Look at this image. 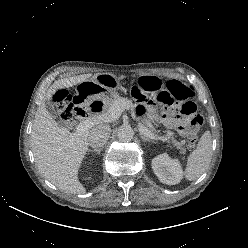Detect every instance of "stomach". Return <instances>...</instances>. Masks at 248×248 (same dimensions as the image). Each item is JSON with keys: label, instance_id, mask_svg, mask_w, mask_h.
<instances>
[{"label": "stomach", "instance_id": "stomach-1", "mask_svg": "<svg viewBox=\"0 0 248 248\" xmlns=\"http://www.w3.org/2000/svg\"><path fill=\"white\" fill-rule=\"evenodd\" d=\"M139 80L151 90L157 91L162 87L161 79L157 76L142 75ZM117 86L116 76L111 73H100L91 81L81 83L74 91V98L84 109L103 115L108 113L112 106L111 99L106 93Z\"/></svg>", "mask_w": 248, "mask_h": 248}]
</instances>
